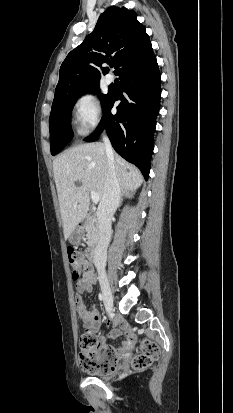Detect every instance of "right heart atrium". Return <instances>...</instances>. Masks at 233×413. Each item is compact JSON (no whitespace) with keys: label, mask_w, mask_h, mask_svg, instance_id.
<instances>
[{"label":"right heart atrium","mask_w":233,"mask_h":413,"mask_svg":"<svg viewBox=\"0 0 233 413\" xmlns=\"http://www.w3.org/2000/svg\"><path fill=\"white\" fill-rule=\"evenodd\" d=\"M75 120L83 133L93 131L103 120V109L98 96L92 92L81 94L73 105Z\"/></svg>","instance_id":"right-heart-atrium-1"}]
</instances>
